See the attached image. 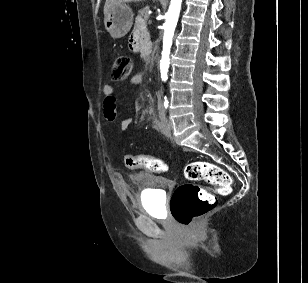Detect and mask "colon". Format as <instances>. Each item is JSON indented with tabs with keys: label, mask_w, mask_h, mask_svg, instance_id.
Instances as JSON below:
<instances>
[{
	"label": "colon",
	"mask_w": 308,
	"mask_h": 283,
	"mask_svg": "<svg viewBox=\"0 0 308 283\" xmlns=\"http://www.w3.org/2000/svg\"><path fill=\"white\" fill-rule=\"evenodd\" d=\"M132 70V61L128 56H119L112 67V79H126ZM124 163L129 169H146L154 172H164L167 165L160 159L145 154H129L124 157ZM185 177L190 181H205L212 189L194 183L180 185L171 198V211L174 219L183 226H190L201 220L216 206L214 193L228 194L231 191L232 180L222 167L203 161L191 162L185 168Z\"/></svg>",
	"instance_id": "colon-1"
}]
</instances>
